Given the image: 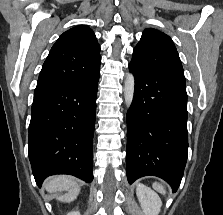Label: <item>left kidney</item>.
Instances as JSON below:
<instances>
[{"label": "left kidney", "instance_id": "5707ae66", "mask_svg": "<svg viewBox=\"0 0 223 215\" xmlns=\"http://www.w3.org/2000/svg\"><path fill=\"white\" fill-rule=\"evenodd\" d=\"M136 193L145 215H158L162 205L158 193L143 183H137Z\"/></svg>", "mask_w": 223, "mask_h": 215}]
</instances>
